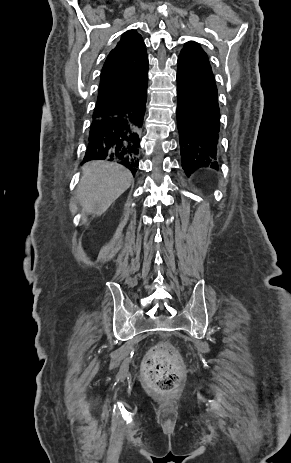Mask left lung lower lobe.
I'll return each instance as SVG.
<instances>
[{
	"label": "left lung lower lobe",
	"instance_id": "obj_1",
	"mask_svg": "<svg viewBox=\"0 0 291 463\" xmlns=\"http://www.w3.org/2000/svg\"><path fill=\"white\" fill-rule=\"evenodd\" d=\"M177 127L183 170L218 168L220 110L216 83L177 71Z\"/></svg>",
	"mask_w": 291,
	"mask_h": 463
}]
</instances>
